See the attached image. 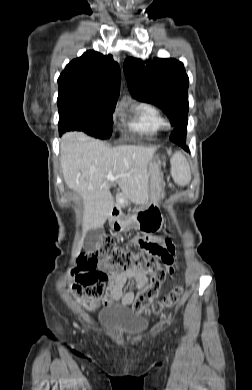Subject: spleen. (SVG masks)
<instances>
[{"label":"spleen","mask_w":252,"mask_h":390,"mask_svg":"<svg viewBox=\"0 0 252 390\" xmlns=\"http://www.w3.org/2000/svg\"><path fill=\"white\" fill-rule=\"evenodd\" d=\"M171 174L174 182L185 186L191 181L190 167L183 154L177 152L171 158Z\"/></svg>","instance_id":"obj_1"}]
</instances>
